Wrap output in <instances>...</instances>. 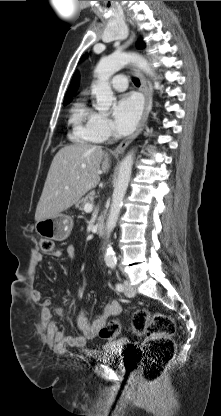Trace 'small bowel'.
Returning <instances> with one entry per match:
<instances>
[{
  "label": "small bowel",
  "instance_id": "obj_1",
  "mask_svg": "<svg viewBox=\"0 0 221 416\" xmlns=\"http://www.w3.org/2000/svg\"><path fill=\"white\" fill-rule=\"evenodd\" d=\"M66 251L69 259H74L76 257V250L73 245L67 246ZM52 255L56 258H61L63 257V252L61 250H55ZM42 262V255L39 252H35L32 256L30 273L34 274L37 266ZM34 297L36 301L41 302L42 304V317L48 324L49 330L53 335L55 341L59 344L68 345L71 347L84 346L89 339H93L99 334L100 328L107 322L108 319L111 317H116L121 313V305L117 300H111L107 302L102 313L92 321H89L84 311H80L76 318L79 335L71 336L60 331L56 324L52 321L53 314L66 316V311L60 307L51 308V301L49 299H43L40 292H35ZM107 345L111 348V346L114 344L108 343Z\"/></svg>",
  "mask_w": 221,
  "mask_h": 416
}]
</instances>
